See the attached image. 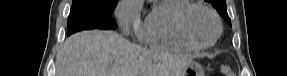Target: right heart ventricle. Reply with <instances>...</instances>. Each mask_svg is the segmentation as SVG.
<instances>
[{"instance_id":"right-heart-ventricle-1","label":"right heart ventricle","mask_w":287,"mask_h":76,"mask_svg":"<svg viewBox=\"0 0 287 76\" xmlns=\"http://www.w3.org/2000/svg\"><path fill=\"white\" fill-rule=\"evenodd\" d=\"M188 0H161L153 5L137 32L138 40L147 47L168 52H188L190 46L182 41L175 27L178 12Z\"/></svg>"}]
</instances>
